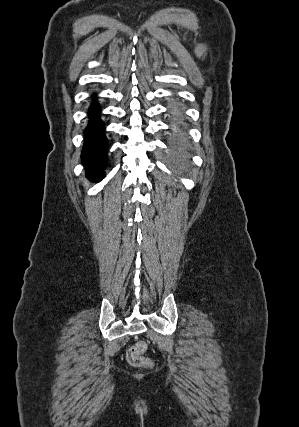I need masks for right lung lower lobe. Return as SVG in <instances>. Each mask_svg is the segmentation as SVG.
Instances as JSON below:
<instances>
[{
	"label": "right lung lower lobe",
	"instance_id": "obj_1",
	"mask_svg": "<svg viewBox=\"0 0 299 427\" xmlns=\"http://www.w3.org/2000/svg\"><path fill=\"white\" fill-rule=\"evenodd\" d=\"M99 106L90 107V121L85 130V143L81 154L82 163L87 169V177L94 182L105 177L103 170L107 164L108 141L104 135V124L99 118Z\"/></svg>",
	"mask_w": 299,
	"mask_h": 427
}]
</instances>
